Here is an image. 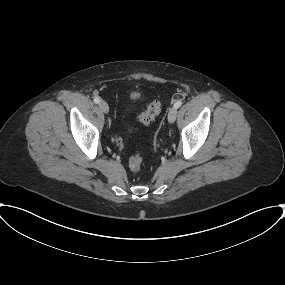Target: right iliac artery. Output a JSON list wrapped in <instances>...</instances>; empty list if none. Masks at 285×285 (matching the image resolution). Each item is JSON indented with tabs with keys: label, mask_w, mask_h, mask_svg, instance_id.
Instances as JSON below:
<instances>
[{
	"label": "right iliac artery",
	"mask_w": 285,
	"mask_h": 285,
	"mask_svg": "<svg viewBox=\"0 0 285 285\" xmlns=\"http://www.w3.org/2000/svg\"><path fill=\"white\" fill-rule=\"evenodd\" d=\"M94 102H95L96 104H98V103L100 102V98H99V97H95V98H94Z\"/></svg>",
	"instance_id": "right-iliac-artery-1"
}]
</instances>
